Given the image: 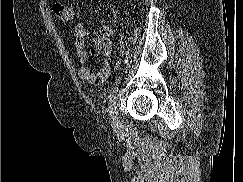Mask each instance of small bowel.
Wrapping results in <instances>:
<instances>
[{
    "label": "small bowel",
    "mask_w": 243,
    "mask_h": 182,
    "mask_svg": "<svg viewBox=\"0 0 243 182\" xmlns=\"http://www.w3.org/2000/svg\"><path fill=\"white\" fill-rule=\"evenodd\" d=\"M100 7L95 8V12H99ZM88 32L85 30L82 22H78L74 29V42L77 52V57L79 61L78 75L81 79L87 81L88 83L101 85L103 84L111 73V67L108 62H106L100 69L94 71L88 63V52L86 49V38ZM102 47H105L107 51L111 49V44L107 42L104 45L103 40L95 38L92 42L91 52L94 54L98 52Z\"/></svg>",
    "instance_id": "small-bowel-1"
}]
</instances>
